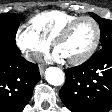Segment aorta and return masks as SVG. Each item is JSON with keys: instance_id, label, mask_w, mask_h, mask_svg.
Masks as SVG:
<instances>
[{"instance_id": "obj_1", "label": "aorta", "mask_w": 112, "mask_h": 112, "mask_svg": "<svg viewBox=\"0 0 112 112\" xmlns=\"http://www.w3.org/2000/svg\"><path fill=\"white\" fill-rule=\"evenodd\" d=\"M45 79L53 86H60L65 82V74L58 67H49L45 71Z\"/></svg>"}]
</instances>
